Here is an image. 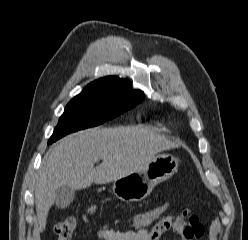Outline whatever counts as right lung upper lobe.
Listing matches in <instances>:
<instances>
[{"mask_svg": "<svg viewBox=\"0 0 248 240\" xmlns=\"http://www.w3.org/2000/svg\"><path fill=\"white\" fill-rule=\"evenodd\" d=\"M126 83H129V82L127 80L120 79L115 76H108V77H104L96 81H93L92 83L88 84L84 90H87V89L112 90Z\"/></svg>", "mask_w": 248, "mask_h": 240, "instance_id": "cb5924a9", "label": "right lung upper lobe"}]
</instances>
